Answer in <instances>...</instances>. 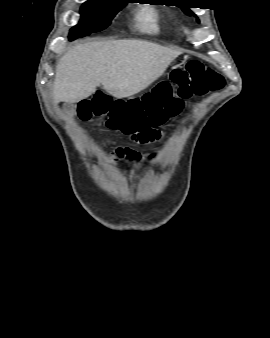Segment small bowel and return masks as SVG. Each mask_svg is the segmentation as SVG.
<instances>
[{"instance_id": "c3829d8e", "label": "small bowel", "mask_w": 270, "mask_h": 338, "mask_svg": "<svg viewBox=\"0 0 270 338\" xmlns=\"http://www.w3.org/2000/svg\"><path fill=\"white\" fill-rule=\"evenodd\" d=\"M125 152H126V149L116 148L114 159L118 160V159L124 158L125 157Z\"/></svg>"}]
</instances>
